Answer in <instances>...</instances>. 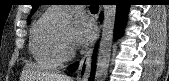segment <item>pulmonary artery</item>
<instances>
[{
	"mask_svg": "<svg viewBox=\"0 0 169 81\" xmlns=\"http://www.w3.org/2000/svg\"><path fill=\"white\" fill-rule=\"evenodd\" d=\"M51 9L61 12L62 10L65 9V6H53V7H51Z\"/></svg>",
	"mask_w": 169,
	"mask_h": 81,
	"instance_id": "e3ab8cb5",
	"label": "pulmonary artery"
}]
</instances>
